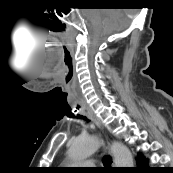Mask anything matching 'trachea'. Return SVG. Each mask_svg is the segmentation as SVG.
<instances>
[{
	"mask_svg": "<svg viewBox=\"0 0 173 173\" xmlns=\"http://www.w3.org/2000/svg\"><path fill=\"white\" fill-rule=\"evenodd\" d=\"M77 118H80V119H83V120L87 121V117L83 116V115H78ZM111 163H112V159L109 155L103 157V164H104L105 168H110Z\"/></svg>",
	"mask_w": 173,
	"mask_h": 173,
	"instance_id": "obj_1",
	"label": "trachea"
}]
</instances>
